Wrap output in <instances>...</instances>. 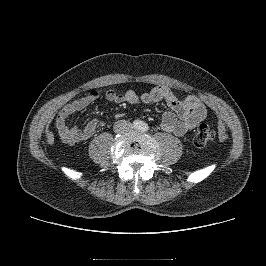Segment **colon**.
I'll return each mask as SVG.
<instances>
[{"instance_id": "1", "label": "colon", "mask_w": 266, "mask_h": 266, "mask_svg": "<svg viewBox=\"0 0 266 266\" xmlns=\"http://www.w3.org/2000/svg\"><path fill=\"white\" fill-rule=\"evenodd\" d=\"M215 137V132L207 123L200 124L194 134L193 142L196 147H204Z\"/></svg>"}]
</instances>
